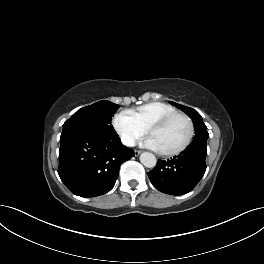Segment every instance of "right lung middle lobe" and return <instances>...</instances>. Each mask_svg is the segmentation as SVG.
<instances>
[{
    "label": "right lung middle lobe",
    "mask_w": 264,
    "mask_h": 264,
    "mask_svg": "<svg viewBox=\"0 0 264 264\" xmlns=\"http://www.w3.org/2000/svg\"><path fill=\"white\" fill-rule=\"evenodd\" d=\"M119 105L103 100L79 109L64 124L63 130L83 129L101 133H115L111 120Z\"/></svg>",
    "instance_id": "right-lung-middle-lobe-1"
}]
</instances>
